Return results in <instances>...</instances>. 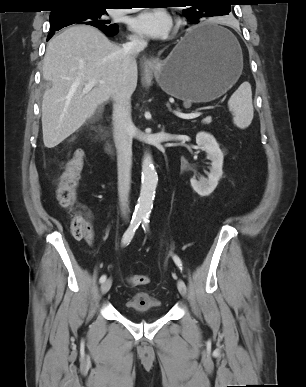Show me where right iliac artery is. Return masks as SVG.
Here are the masks:
<instances>
[{
  "instance_id": "right-iliac-artery-1",
  "label": "right iliac artery",
  "mask_w": 306,
  "mask_h": 387,
  "mask_svg": "<svg viewBox=\"0 0 306 387\" xmlns=\"http://www.w3.org/2000/svg\"><path fill=\"white\" fill-rule=\"evenodd\" d=\"M141 222H142V220L140 217H133L132 218L128 229L125 231V233L123 235L122 246L128 245L130 243V241L132 240V238L135 234V231L137 230V228L139 227ZM105 280H106V275H102L100 277L99 281H100V283H103V282H105Z\"/></svg>"
}]
</instances>
